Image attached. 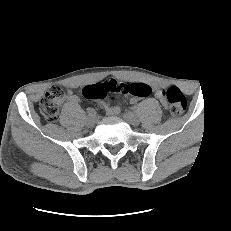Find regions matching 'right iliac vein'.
<instances>
[{
    "mask_svg": "<svg viewBox=\"0 0 231 231\" xmlns=\"http://www.w3.org/2000/svg\"><path fill=\"white\" fill-rule=\"evenodd\" d=\"M96 121H97V119H96V117L94 115H89L87 117V120H86L87 124L90 125V126L95 124Z\"/></svg>",
    "mask_w": 231,
    "mask_h": 231,
    "instance_id": "right-iliac-vein-1",
    "label": "right iliac vein"
}]
</instances>
